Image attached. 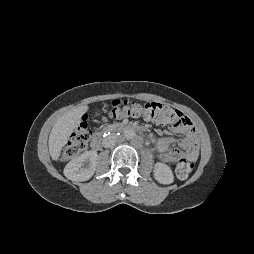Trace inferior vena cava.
I'll return each instance as SVG.
<instances>
[{"instance_id": "inferior-vena-cava-1", "label": "inferior vena cava", "mask_w": 254, "mask_h": 254, "mask_svg": "<svg viewBox=\"0 0 254 254\" xmlns=\"http://www.w3.org/2000/svg\"><path fill=\"white\" fill-rule=\"evenodd\" d=\"M117 141V135L110 134L103 139V146L105 148H112L115 146Z\"/></svg>"}]
</instances>
